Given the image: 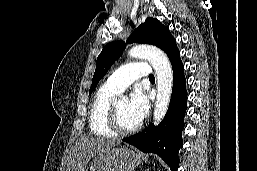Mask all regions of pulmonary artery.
Segmentation results:
<instances>
[{"instance_id":"e3ab8cb5","label":"pulmonary artery","mask_w":257,"mask_h":171,"mask_svg":"<svg viewBox=\"0 0 257 171\" xmlns=\"http://www.w3.org/2000/svg\"><path fill=\"white\" fill-rule=\"evenodd\" d=\"M151 74V68L146 62H131L125 64L114 71L107 79L106 84L122 92L127 86L141 77H148Z\"/></svg>"}]
</instances>
